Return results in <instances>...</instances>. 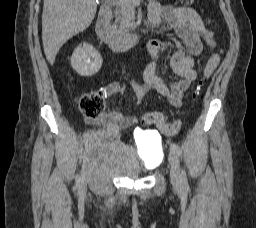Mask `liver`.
<instances>
[{
  "label": "liver",
  "mask_w": 256,
  "mask_h": 228,
  "mask_svg": "<svg viewBox=\"0 0 256 228\" xmlns=\"http://www.w3.org/2000/svg\"><path fill=\"white\" fill-rule=\"evenodd\" d=\"M42 40L45 56L53 65L62 45L85 30L93 21L95 0H44Z\"/></svg>",
  "instance_id": "6515ba94"
}]
</instances>
